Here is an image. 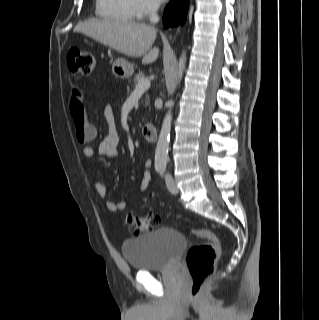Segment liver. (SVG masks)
I'll return each instance as SVG.
<instances>
[{
	"label": "liver",
	"mask_w": 319,
	"mask_h": 320,
	"mask_svg": "<svg viewBox=\"0 0 319 320\" xmlns=\"http://www.w3.org/2000/svg\"><path fill=\"white\" fill-rule=\"evenodd\" d=\"M75 33H82L128 57L143 56L144 64L156 61L159 48L152 49L156 38L154 27L131 20L89 19L78 23Z\"/></svg>",
	"instance_id": "liver-1"
}]
</instances>
